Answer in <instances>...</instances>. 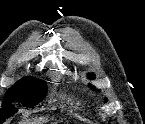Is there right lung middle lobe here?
<instances>
[{
	"label": "right lung middle lobe",
	"instance_id": "1",
	"mask_svg": "<svg viewBox=\"0 0 145 124\" xmlns=\"http://www.w3.org/2000/svg\"><path fill=\"white\" fill-rule=\"evenodd\" d=\"M46 91L44 81L33 77L21 79L5 94L3 108L0 110V124L18 111L11 102L18 101L26 107H33L43 100Z\"/></svg>",
	"mask_w": 145,
	"mask_h": 124
}]
</instances>
